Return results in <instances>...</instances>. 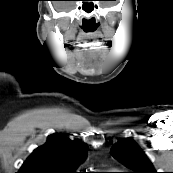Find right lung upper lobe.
I'll list each match as a JSON object with an SVG mask.
<instances>
[{
    "mask_svg": "<svg viewBox=\"0 0 173 173\" xmlns=\"http://www.w3.org/2000/svg\"><path fill=\"white\" fill-rule=\"evenodd\" d=\"M86 154L83 144L54 133L49 135L46 144L32 152L18 173H76Z\"/></svg>",
    "mask_w": 173,
    "mask_h": 173,
    "instance_id": "obj_1",
    "label": "right lung upper lobe"
}]
</instances>
